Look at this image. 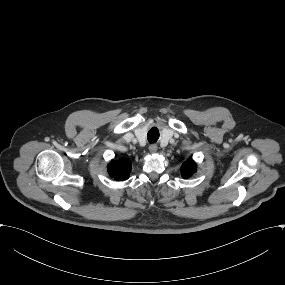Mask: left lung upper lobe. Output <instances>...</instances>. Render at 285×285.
<instances>
[{
  "label": "left lung upper lobe",
  "mask_w": 285,
  "mask_h": 285,
  "mask_svg": "<svg viewBox=\"0 0 285 285\" xmlns=\"http://www.w3.org/2000/svg\"><path fill=\"white\" fill-rule=\"evenodd\" d=\"M196 172V164L193 160L188 159L181 166V174L184 178L190 177Z\"/></svg>",
  "instance_id": "5c2ea615"
}]
</instances>
